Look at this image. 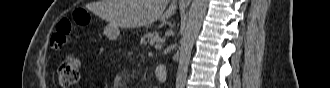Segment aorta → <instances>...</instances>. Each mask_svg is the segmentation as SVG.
<instances>
[{"instance_id":"1","label":"aorta","mask_w":330,"mask_h":88,"mask_svg":"<svg viewBox=\"0 0 330 88\" xmlns=\"http://www.w3.org/2000/svg\"><path fill=\"white\" fill-rule=\"evenodd\" d=\"M207 6L208 0L192 1L186 27L180 41V60L176 76V88H185L191 51L200 31Z\"/></svg>"}]
</instances>
